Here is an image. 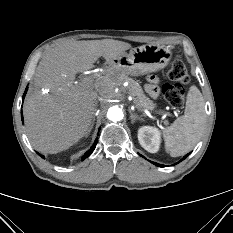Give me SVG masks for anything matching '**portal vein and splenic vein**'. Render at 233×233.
<instances>
[{"label": "portal vein and splenic vein", "instance_id": "1", "mask_svg": "<svg viewBox=\"0 0 233 233\" xmlns=\"http://www.w3.org/2000/svg\"><path fill=\"white\" fill-rule=\"evenodd\" d=\"M92 84V78L91 77H84L79 85L84 88H89Z\"/></svg>", "mask_w": 233, "mask_h": 233}]
</instances>
